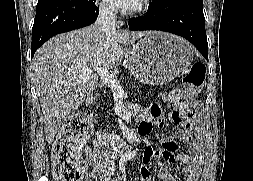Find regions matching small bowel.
Here are the masks:
<instances>
[{
    "instance_id": "small-bowel-1",
    "label": "small bowel",
    "mask_w": 253,
    "mask_h": 181,
    "mask_svg": "<svg viewBox=\"0 0 253 181\" xmlns=\"http://www.w3.org/2000/svg\"><path fill=\"white\" fill-rule=\"evenodd\" d=\"M183 92L179 90L171 91L163 95V104L166 106H177L179 109L192 107L191 103L183 101ZM193 108V107H192ZM138 115L142 122L138 127V134L145 138L152 130L153 126L161 125L164 122L163 109L161 104H154L149 110H138ZM172 120L176 123H184L185 133L181 139L188 140L194 132L193 121L191 119H183L180 112L172 114ZM197 133V137L192 141L189 153L174 154L178 147V140L174 136H166L161 140V146L149 145L145 149L142 156V165L140 167V181H149L151 170L149 164L153 158L162 156L171 163H179L185 165L184 180L198 181L201 167L203 164V140ZM114 142L113 136L109 133L98 132L90 146L86 147V158L92 166L93 174L100 181H109L113 174L114 156L112 150L104 149V146ZM157 179L159 181H179L165 167H160L157 171Z\"/></svg>"
}]
</instances>
